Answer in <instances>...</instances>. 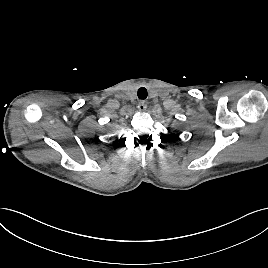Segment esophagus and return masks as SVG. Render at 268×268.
Masks as SVG:
<instances>
[{"label": "esophagus", "instance_id": "esophagus-1", "mask_svg": "<svg viewBox=\"0 0 268 268\" xmlns=\"http://www.w3.org/2000/svg\"><path fill=\"white\" fill-rule=\"evenodd\" d=\"M139 111H145L147 108V104L145 101H140L137 105Z\"/></svg>", "mask_w": 268, "mask_h": 268}]
</instances>
